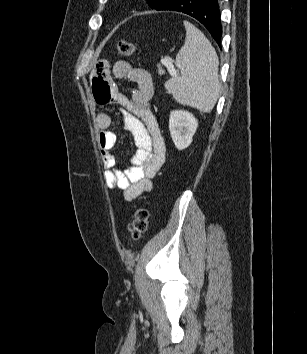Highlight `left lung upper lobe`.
Here are the masks:
<instances>
[{"mask_svg":"<svg viewBox=\"0 0 307 354\" xmlns=\"http://www.w3.org/2000/svg\"><path fill=\"white\" fill-rule=\"evenodd\" d=\"M169 1L170 0H147V2L150 5V7L154 8V9H157V10L162 8Z\"/></svg>","mask_w":307,"mask_h":354,"instance_id":"left-lung-upper-lobe-1","label":"left lung upper lobe"}]
</instances>
